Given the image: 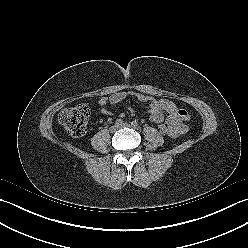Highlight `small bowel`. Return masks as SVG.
Here are the masks:
<instances>
[{
  "instance_id": "obj_1",
  "label": "small bowel",
  "mask_w": 248,
  "mask_h": 248,
  "mask_svg": "<svg viewBox=\"0 0 248 248\" xmlns=\"http://www.w3.org/2000/svg\"><path fill=\"white\" fill-rule=\"evenodd\" d=\"M133 97L149 105V116L152 122L160 124L164 121V114H167L165 123L171 130L170 136L177 137L187 131L185 122L189 120V113L185 109L178 108L177 105L168 99H156L152 96L135 91H117L110 96L102 97L99 100V108L102 114L108 115V105H115Z\"/></svg>"
}]
</instances>
